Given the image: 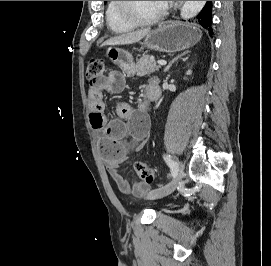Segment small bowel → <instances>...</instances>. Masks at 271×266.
I'll return each mask as SVG.
<instances>
[{"label":"small bowel","mask_w":271,"mask_h":266,"mask_svg":"<svg viewBox=\"0 0 271 266\" xmlns=\"http://www.w3.org/2000/svg\"><path fill=\"white\" fill-rule=\"evenodd\" d=\"M151 85V84H150ZM149 85V86H150ZM148 86V87H149ZM125 88V78L116 69L107 74L90 79L89 83V121L91 126L100 132V149L106 163L107 171L124 193L142 195L148 190V185L138 182L133 186L119 172L120 165L126 160L128 143L124 141L131 136L134 141H143L149 134V122L143 115L147 104L138 106L139 116L134 117V110L126 102H118L115 106L118 119L107 120L103 92L117 93Z\"/></svg>","instance_id":"small-bowel-1"}]
</instances>
